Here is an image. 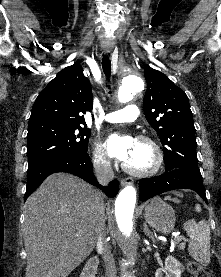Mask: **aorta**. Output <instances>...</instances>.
<instances>
[{"label": "aorta", "instance_id": "aorta-1", "mask_svg": "<svg viewBox=\"0 0 221 277\" xmlns=\"http://www.w3.org/2000/svg\"><path fill=\"white\" fill-rule=\"evenodd\" d=\"M144 89L143 79L135 73L127 74L120 82L117 93L118 101L127 103L133 96ZM136 189L125 186L117 195L112 215V231L121 250L128 257H134L138 249L134 210Z\"/></svg>", "mask_w": 221, "mask_h": 277}]
</instances>
